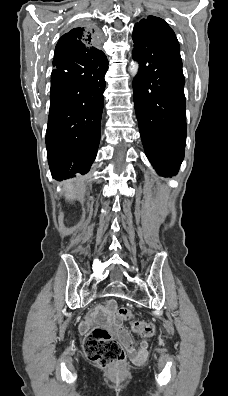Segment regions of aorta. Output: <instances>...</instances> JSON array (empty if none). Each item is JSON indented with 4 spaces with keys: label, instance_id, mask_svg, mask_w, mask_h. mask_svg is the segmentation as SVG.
Masks as SVG:
<instances>
[{
    "label": "aorta",
    "instance_id": "obj_1",
    "mask_svg": "<svg viewBox=\"0 0 228 396\" xmlns=\"http://www.w3.org/2000/svg\"><path fill=\"white\" fill-rule=\"evenodd\" d=\"M139 65L136 61H131L130 63V72L133 76H136L138 73Z\"/></svg>",
    "mask_w": 228,
    "mask_h": 396
}]
</instances>
